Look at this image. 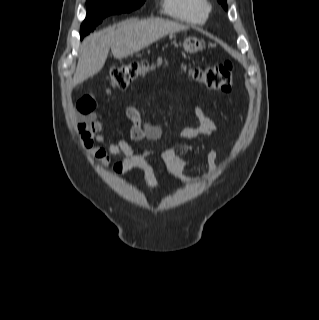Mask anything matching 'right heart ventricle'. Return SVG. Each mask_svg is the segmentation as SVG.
Wrapping results in <instances>:
<instances>
[{
  "instance_id": "obj_1",
  "label": "right heart ventricle",
  "mask_w": 319,
  "mask_h": 320,
  "mask_svg": "<svg viewBox=\"0 0 319 320\" xmlns=\"http://www.w3.org/2000/svg\"><path fill=\"white\" fill-rule=\"evenodd\" d=\"M210 9L208 0H163L161 4L164 14L192 24L205 23Z\"/></svg>"
}]
</instances>
